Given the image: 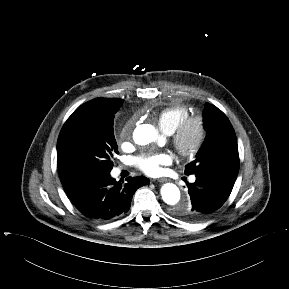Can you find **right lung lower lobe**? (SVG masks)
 Returning <instances> with one entry per match:
<instances>
[{"mask_svg": "<svg viewBox=\"0 0 289 289\" xmlns=\"http://www.w3.org/2000/svg\"><path fill=\"white\" fill-rule=\"evenodd\" d=\"M127 183L110 174L88 178L65 190L73 205L87 218L104 221L126 213L134 191L149 183L146 177H129Z\"/></svg>", "mask_w": 289, "mask_h": 289, "instance_id": "obj_1", "label": "right lung lower lobe"}]
</instances>
